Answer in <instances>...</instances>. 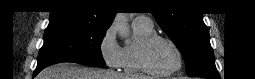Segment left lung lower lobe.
<instances>
[{
    "label": "left lung lower lobe",
    "mask_w": 255,
    "mask_h": 79,
    "mask_svg": "<svg viewBox=\"0 0 255 79\" xmlns=\"http://www.w3.org/2000/svg\"><path fill=\"white\" fill-rule=\"evenodd\" d=\"M202 77H205L207 79H220L219 74H217V75H205V76H202Z\"/></svg>",
    "instance_id": "obj_1"
}]
</instances>
